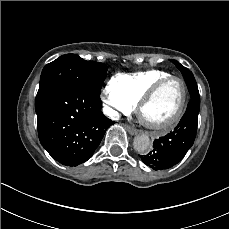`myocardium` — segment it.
<instances>
[{"mask_svg":"<svg viewBox=\"0 0 229 229\" xmlns=\"http://www.w3.org/2000/svg\"><path fill=\"white\" fill-rule=\"evenodd\" d=\"M175 79L181 81L183 86H184V89H185V104H184V107H183L181 113L174 120H172L171 122L166 123L164 125H155V124H152V123L148 122L146 120L145 115H144L145 106L147 105V103L150 101V99L153 97V95L160 88H162L163 86L167 85L170 81L175 80ZM138 103L141 105L140 106V110H139V114H140V118H141L142 122L149 129L154 131L155 133L164 134V133L169 132L175 126H177L180 123V121L183 119V117L185 116V114H186V112H187V110L189 108V105L191 103V94H190V91L188 89L187 83H186V81H185V79L183 77L178 76V75H170V76H168L166 78H163V79L159 80L156 84H154L151 89H149L147 92H145L142 95V98H140L138 100Z\"/></svg>","mask_w":229,"mask_h":229,"instance_id":"1","label":"myocardium"}]
</instances>
